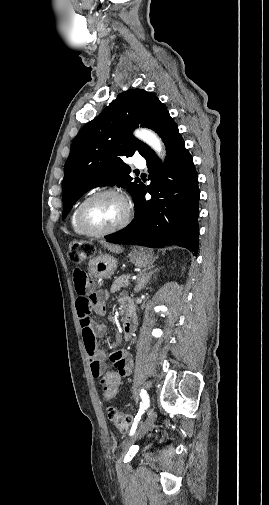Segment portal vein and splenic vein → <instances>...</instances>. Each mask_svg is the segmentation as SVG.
Segmentation results:
<instances>
[{
  "label": "portal vein and splenic vein",
  "instance_id": "18ae733b",
  "mask_svg": "<svg viewBox=\"0 0 269 505\" xmlns=\"http://www.w3.org/2000/svg\"><path fill=\"white\" fill-rule=\"evenodd\" d=\"M128 285H129V282H127V283H126V286H128ZM126 286H125V287H126Z\"/></svg>",
  "mask_w": 269,
  "mask_h": 505
}]
</instances>
